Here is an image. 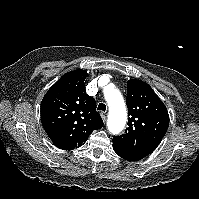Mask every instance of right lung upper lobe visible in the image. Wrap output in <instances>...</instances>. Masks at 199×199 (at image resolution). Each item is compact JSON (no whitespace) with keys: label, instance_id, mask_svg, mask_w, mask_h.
<instances>
[{"label":"right lung upper lobe","instance_id":"1","mask_svg":"<svg viewBox=\"0 0 199 199\" xmlns=\"http://www.w3.org/2000/svg\"><path fill=\"white\" fill-rule=\"evenodd\" d=\"M84 70L64 74L44 95L42 125L54 145L73 150L82 146L95 129L103 126L94 98L85 92Z\"/></svg>","mask_w":199,"mask_h":199}]
</instances>
